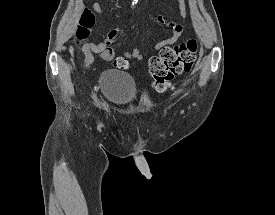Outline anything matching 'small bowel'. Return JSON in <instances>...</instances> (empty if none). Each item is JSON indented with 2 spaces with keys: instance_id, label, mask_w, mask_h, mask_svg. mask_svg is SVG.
<instances>
[{
  "instance_id": "obj_1",
  "label": "small bowel",
  "mask_w": 275,
  "mask_h": 215,
  "mask_svg": "<svg viewBox=\"0 0 275 215\" xmlns=\"http://www.w3.org/2000/svg\"><path fill=\"white\" fill-rule=\"evenodd\" d=\"M181 15L183 18L187 17V10L184 0H179ZM93 9L98 13H103V6L99 2H94L92 5ZM156 21L159 25L167 26L171 29V34L165 36L160 41L155 43L148 51L143 52L140 49L136 48L131 52H125L124 58L133 59V60H144L149 53L156 52L161 50L167 45L175 43L182 35L185 30L186 24H177L171 21H168L163 16H158ZM121 36V32L118 30H111L106 35L102 42L97 43L95 40L88 41L83 46V51L85 53V61L89 65L94 61L93 54H99L100 57L104 60L110 61L114 57V51L111 47V44L114 43Z\"/></svg>"
}]
</instances>
